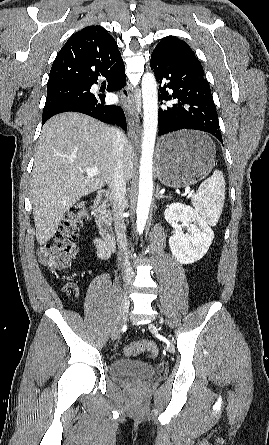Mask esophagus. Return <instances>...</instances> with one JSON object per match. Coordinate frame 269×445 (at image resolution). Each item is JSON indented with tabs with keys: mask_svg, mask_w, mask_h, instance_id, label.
<instances>
[{
	"mask_svg": "<svg viewBox=\"0 0 269 445\" xmlns=\"http://www.w3.org/2000/svg\"><path fill=\"white\" fill-rule=\"evenodd\" d=\"M121 97L128 114V134L135 145H139L141 141V127L139 124V112L141 111V100L136 93H131L128 88L121 91Z\"/></svg>",
	"mask_w": 269,
	"mask_h": 445,
	"instance_id": "34e87169",
	"label": "esophagus"
}]
</instances>
